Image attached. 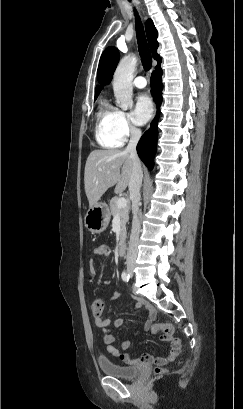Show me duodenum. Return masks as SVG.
I'll list each match as a JSON object with an SVG mask.
<instances>
[{"label":"duodenum","instance_id":"1","mask_svg":"<svg viewBox=\"0 0 243 409\" xmlns=\"http://www.w3.org/2000/svg\"><path fill=\"white\" fill-rule=\"evenodd\" d=\"M118 253L120 256H124L126 254V244L125 243L119 244Z\"/></svg>","mask_w":243,"mask_h":409}]
</instances>
